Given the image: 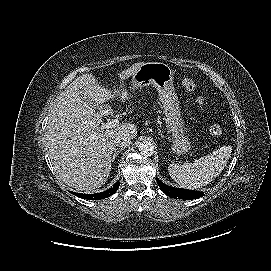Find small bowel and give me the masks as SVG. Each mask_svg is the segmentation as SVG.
Segmentation results:
<instances>
[{
	"label": "small bowel",
	"instance_id": "c3829d8e",
	"mask_svg": "<svg viewBox=\"0 0 271 271\" xmlns=\"http://www.w3.org/2000/svg\"><path fill=\"white\" fill-rule=\"evenodd\" d=\"M198 103L201 105V104H202V101H201V100H199V101H198Z\"/></svg>",
	"mask_w": 271,
	"mask_h": 271
}]
</instances>
